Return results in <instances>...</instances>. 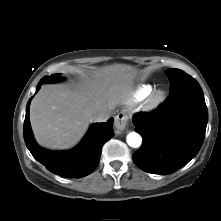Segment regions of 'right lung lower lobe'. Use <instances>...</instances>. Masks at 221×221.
<instances>
[{"label": "right lung lower lobe", "instance_id": "98d812e1", "mask_svg": "<svg viewBox=\"0 0 221 221\" xmlns=\"http://www.w3.org/2000/svg\"><path fill=\"white\" fill-rule=\"evenodd\" d=\"M41 84L42 82L38 83L37 91ZM31 99L26 107L24 140L33 157L50 172L63 177L81 178L92 173L99 163L103 144L114 136L113 118L107 122L92 125L76 148L69 151L52 152L39 147L33 138L29 120Z\"/></svg>", "mask_w": 221, "mask_h": 221}]
</instances>
